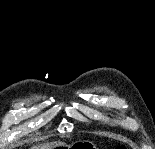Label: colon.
Returning a JSON list of instances; mask_svg holds the SVG:
<instances>
[{"instance_id":"5ec220e1","label":"colon","mask_w":155,"mask_h":149,"mask_svg":"<svg viewBox=\"0 0 155 149\" xmlns=\"http://www.w3.org/2000/svg\"><path fill=\"white\" fill-rule=\"evenodd\" d=\"M117 149H126V147L124 145H119Z\"/></svg>"}]
</instances>
